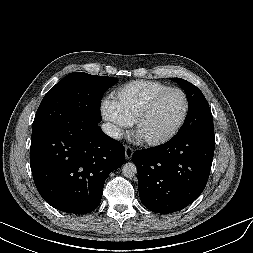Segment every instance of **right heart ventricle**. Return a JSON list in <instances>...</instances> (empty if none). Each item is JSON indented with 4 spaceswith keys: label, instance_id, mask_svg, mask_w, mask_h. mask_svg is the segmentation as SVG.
<instances>
[{
    "label": "right heart ventricle",
    "instance_id": "obj_1",
    "mask_svg": "<svg viewBox=\"0 0 253 253\" xmlns=\"http://www.w3.org/2000/svg\"><path fill=\"white\" fill-rule=\"evenodd\" d=\"M169 88L163 82L155 80H136L125 84L114 93L116 104L124 121L134 124L147 102L158 92Z\"/></svg>",
    "mask_w": 253,
    "mask_h": 253
}]
</instances>
